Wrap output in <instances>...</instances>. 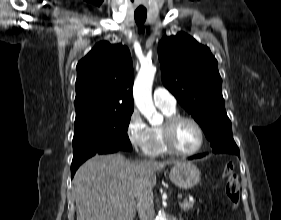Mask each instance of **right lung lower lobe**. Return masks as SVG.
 Returning <instances> with one entry per match:
<instances>
[{"mask_svg":"<svg viewBox=\"0 0 281 220\" xmlns=\"http://www.w3.org/2000/svg\"><path fill=\"white\" fill-rule=\"evenodd\" d=\"M121 151L120 149L117 148H111V149H107V150H103V151H91V152H86L80 155H77L75 157H73L72 160V164H71V176L73 177L76 170L78 169V167L84 162L86 161L88 158L96 155V154H109V153H115Z\"/></svg>","mask_w":281,"mask_h":220,"instance_id":"obj_1","label":"right lung lower lobe"}]
</instances>
